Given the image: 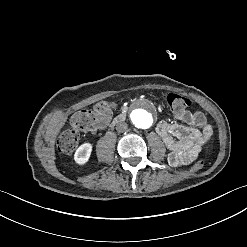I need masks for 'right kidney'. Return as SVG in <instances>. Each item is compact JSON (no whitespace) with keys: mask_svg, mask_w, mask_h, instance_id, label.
<instances>
[{"mask_svg":"<svg viewBox=\"0 0 247 247\" xmlns=\"http://www.w3.org/2000/svg\"><path fill=\"white\" fill-rule=\"evenodd\" d=\"M92 145L90 143L82 144L75 152L74 160L76 163L83 165L85 164L91 154Z\"/></svg>","mask_w":247,"mask_h":247,"instance_id":"ca27d5eb","label":"right kidney"}]
</instances>
